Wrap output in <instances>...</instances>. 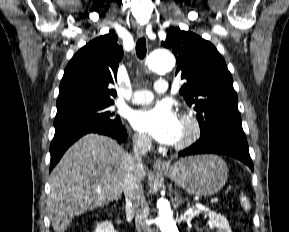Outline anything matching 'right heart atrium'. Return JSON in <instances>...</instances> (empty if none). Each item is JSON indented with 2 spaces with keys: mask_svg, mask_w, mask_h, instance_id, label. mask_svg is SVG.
Instances as JSON below:
<instances>
[{
  "mask_svg": "<svg viewBox=\"0 0 289 232\" xmlns=\"http://www.w3.org/2000/svg\"><path fill=\"white\" fill-rule=\"evenodd\" d=\"M133 140L139 149H146L149 147L150 142L148 138L142 134H135Z\"/></svg>",
  "mask_w": 289,
  "mask_h": 232,
  "instance_id": "d8ad5b80",
  "label": "right heart atrium"
}]
</instances>
